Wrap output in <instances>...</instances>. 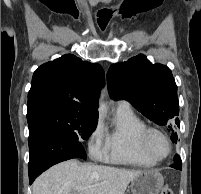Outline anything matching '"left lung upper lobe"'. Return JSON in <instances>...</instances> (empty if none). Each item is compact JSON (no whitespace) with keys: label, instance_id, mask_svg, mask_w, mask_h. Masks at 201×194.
Instances as JSON below:
<instances>
[{"label":"left lung upper lobe","instance_id":"obj_1","mask_svg":"<svg viewBox=\"0 0 201 194\" xmlns=\"http://www.w3.org/2000/svg\"><path fill=\"white\" fill-rule=\"evenodd\" d=\"M107 85L112 99L128 100L138 111L155 123L180 128L177 86L170 69L152 64L140 54L111 66ZM177 134L172 132V138Z\"/></svg>","mask_w":201,"mask_h":194}]
</instances>
